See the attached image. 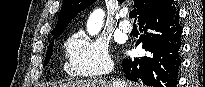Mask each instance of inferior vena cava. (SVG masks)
Segmentation results:
<instances>
[{
	"mask_svg": "<svg viewBox=\"0 0 205 87\" xmlns=\"http://www.w3.org/2000/svg\"><path fill=\"white\" fill-rule=\"evenodd\" d=\"M113 87H126V85L120 81H113Z\"/></svg>",
	"mask_w": 205,
	"mask_h": 87,
	"instance_id": "inferior-vena-cava-1",
	"label": "inferior vena cava"
}]
</instances>
